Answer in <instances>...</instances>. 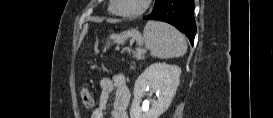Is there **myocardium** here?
<instances>
[{
	"label": "myocardium",
	"mask_w": 273,
	"mask_h": 118,
	"mask_svg": "<svg viewBox=\"0 0 273 118\" xmlns=\"http://www.w3.org/2000/svg\"><path fill=\"white\" fill-rule=\"evenodd\" d=\"M117 3H118V0H112V2H111L110 9L114 14H116L120 17H124V18H133V17H137V16H140L143 13H145L149 8L151 0H144L143 6L139 10L134 11V12L119 11L117 9Z\"/></svg>",
	"instance_id": "f54148a6"
}]
</instances>
